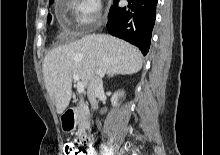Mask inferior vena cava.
<instances>
[{"label": "inferior vena cava", "mask_w": 220, "mask_h": 155, "mask_svg": "<svg viewBox=\"0 0 220 155\" xmlns=\"http://www.w3.org/2000/svg\"><path fill=\"white\" fill-rule=\"evenodd\" d=\"M103 75H104L103 70L98 69L88 86V92H87L88 99L93 109H96L98 107L96 98L100 93L103 92V81H102Z\"/></svg>", "instance_id": "1"}]
</instances>
